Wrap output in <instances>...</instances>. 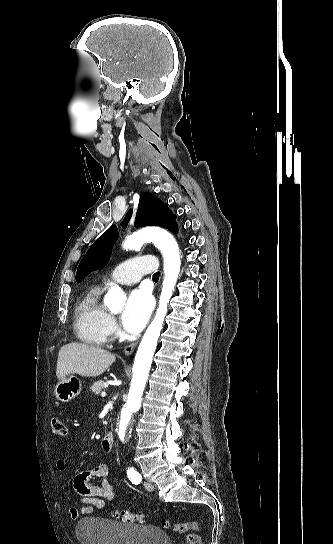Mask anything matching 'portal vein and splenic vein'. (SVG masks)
<instances>
[{
    "mask_svg": "<svg viewBox=\"0 0 333 544\" xmlns=\"http://www.w3.org/2000/svg\"><path fill=\"white\" fill-rule=\"evenodd\" d=\"M101 396H102V397H105V396H106V393H105V392H102V393H101Z\"/></svg>",
    "mask_w": 333,
    "mask_h": 544,
    "instance_id": "portal-vein-and-splenic-vein-1",
    "label": "portal vein and splenic vein"
}]
</instances>
